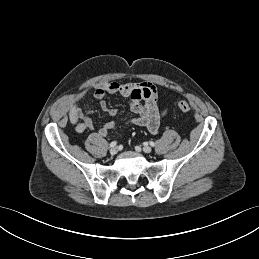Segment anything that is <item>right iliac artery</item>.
<instances>
[{
  "instance_id": "right-iliac-artery-1",
  "label": "right iliac artery",
  "mask_w": 259,
  "mask_h": 259,
  "mask_svg": "<svg viewBox=\"0 0 259 259\" xmlns=\"http://www.w3.org/2000/svg\"><path fill=\"white\" fill-rule=\"evenodd\" d=\"M116 144H117V142L113 141V142L110 143V147H114V146H116Z\"/></svg>"
}]
</instances>
